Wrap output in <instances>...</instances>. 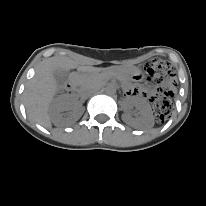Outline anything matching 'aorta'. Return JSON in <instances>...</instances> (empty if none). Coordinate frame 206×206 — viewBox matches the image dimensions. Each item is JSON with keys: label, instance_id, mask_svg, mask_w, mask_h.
Here are the masks:
<instances>
[{"label": "aorta", "instance_id": "obj_1", "mask_svg": "<svg viewBox=\"0 0 206 206\" xmlns=\"http://www.w3.org/2000/svg\"><path fill=\"white\" fill-rule=\"evenodd\" d=\"M106 93L109 95H114L116 93V87L114 85L107 86Z\"/></svg>", "mask_w": 206, "mask_h": 206}]
</instances>
